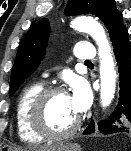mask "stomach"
Masks as SVG:
<instances>
[{
	"label": "stomach",
	"mask_w": 131,
	"mask_h": 151,
	"mask_svg": "<svg viewBox=\"0 0 131 151\" xmlns=\"http://www.w3.org/2000/svg\"><path fill=\"white\" fill-rule=\"evenodd\" d=\"M49 151H81L80 145L77 143H66L61 144L58 147H54L53 150Z\"/></svg>",
	"instance_id": "0dacf381"
}]
</instances>
